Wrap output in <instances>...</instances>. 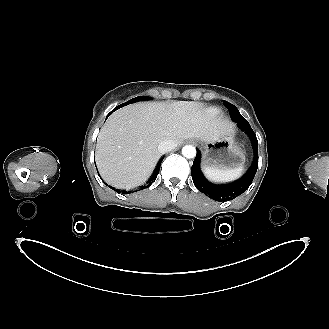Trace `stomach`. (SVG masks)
<instances>
[{
  "label": "stomach",
  "mask_w": 329,
  "mask_h": 329,
  "mask_svg": "<svg viewBox=\"0 0 329 329\" xmlns=\"http://www.w3.org/2000/svg\"><path fill=\"white\" fill-rule=\"evenodd\" d=\"M246 162L245 152L234 139V132L203 147L202 165L205 168L231 170L241 168Z\"/></svg>",
  "instance_id": "1"
}]
</instances>
